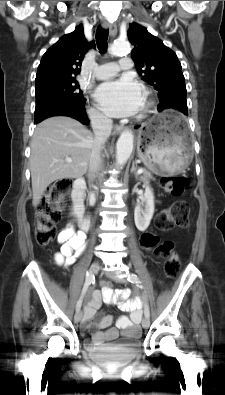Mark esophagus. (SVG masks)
Returning a JSON list of instances; mask_svg holds the SVG:
<instances>
[{"instance_id": "esophagus-1", "label": "esophagus", "mask_w": 225, "mask_h": 395, "mask_svg": "<svg viewBox=\"0 0 225 395\" xmlns=\"http://www.w3.org/2000/svg\"><path fill=\"white\" fill-rule=\"evenodd\" d=\"M102 26L104 29L109 30L110 36L114 37L116 35V30L115 28L108 22V21H103ZM124 129L123 126L121 125H116L114 127V133L118 134Z\"/></svg>"}]
</instances>
